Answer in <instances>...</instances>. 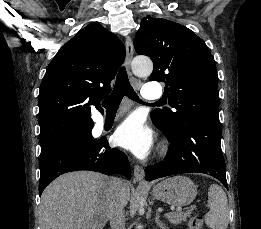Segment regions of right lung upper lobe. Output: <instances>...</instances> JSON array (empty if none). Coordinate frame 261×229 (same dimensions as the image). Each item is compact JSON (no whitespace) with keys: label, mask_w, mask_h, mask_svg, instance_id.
Returning a JSON list of instances; mask_svg holds the SVG:
<instances>
[{"label":"right lung upper lobe","mask_w":261,"mask_h":229,"mask_svg":"<svg viewBox=\"0 0 261 229\" xmlns=\"http://www.w3.org/2000/svg\"><path fill=\"white\" fill-rule=\"evenodd\" d=\"M125 58L116 35L94 22L63 45L40 85L41 146L57 147L93 128L91 108L111 92L110 82Z\"/></svg>","instance_id":"cb5924a9"}]
</instances>
